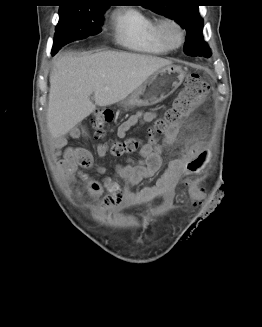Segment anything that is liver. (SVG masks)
Returning a JSON list of instances; mask_svg holds the SVG:
<instances>
[{"label":"liver","mask_w":262,"mask_h":327,"mask_svg":"<svg viewBox=\"0 0 262 327\" xmlns=\"http://www.w3.org/2000/svg\"><path fill=\"white\" fill-rule=\"evenodd\" d=\"M172 62L160 57L103 51L58 55L50 73L47 126L53 138L67 134L97 106L124 100L159 69ZM94 94V102L90 96Z\"/></svg>","instance_id":"6515ba94"}]
</instances>
